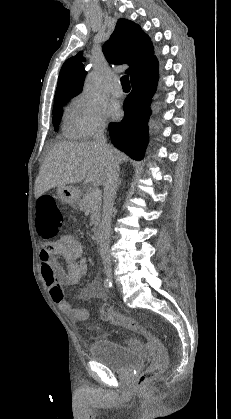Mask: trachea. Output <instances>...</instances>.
Masks as SVG:
<instances>
[{
    "mask_svg": "<svg viewBox=\"0 0 231 419\" xmlns=\"http://www.w3.org/2000/svg\"><path fill=\"white\" fill-rule=\"evenodd\" d=\"M120 80L123 88H130L128 75L122 76Z\"/></svg>",
    "mask_w": 231,
    "mask_h": 419,
    "instance_id": "obj_1",
    "label": "trachea"
}]
</instances>
